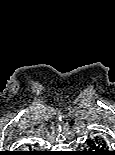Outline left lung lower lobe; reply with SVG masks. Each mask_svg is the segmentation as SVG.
<instances>
[{
  "label": "left lung lower lobe",
  "mask_w": 115,
  "mask_h": 155,
  "mask_svg": "<svg viewBox=\"0 0 115 155\" xmlns=\"http://www.w3.org/2000/svg\"><path fill=\"white\" fill-rule=\"evenodd\" d=\"M88 151L83 155H115L109 150L106 140L102 137H93L87 141Z\"/></svg>",
  "instance_id": "obj_1"
}]
</instances>
